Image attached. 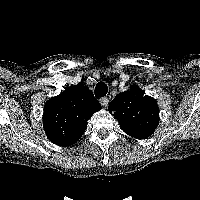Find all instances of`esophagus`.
Returning <instances> with one entry per match:
<instances>
[{"label": "esophagus", "mask_w": 200, "mask_h": 200, "mask_svg": "<svg viewBox=\"0 0 200 200\" xmlns=\"http://www.w3.org/2000/svg\"><path fill=\"white\" fill-rule=\"evenodd\" d=\"M99 102L103 107H107L109 103V99L106 96H104L100 98Z\"/></svg>", "instance_id": "34e87169"}]
</instances>
